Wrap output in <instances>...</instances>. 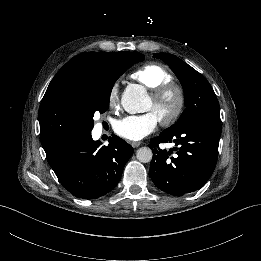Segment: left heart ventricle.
<instances>
[{"instance_id":"b2bd125f","label":"left heart ventricle","mask_w":261,"mask_h":261,"mask_svg":"<svg viewBox=\"0 0 261 261\" xmlns=\"http://www.w3.org/2000/svg\"><path fill=\"white\" fill-rule=\"evenodd\" d=\"M175 106V98L173 96L165 98L157 107L152 105L149 99L146 105V110L153 111L157 117L160 115H166L172 111Z\"/></svg>"}]
</instances>
